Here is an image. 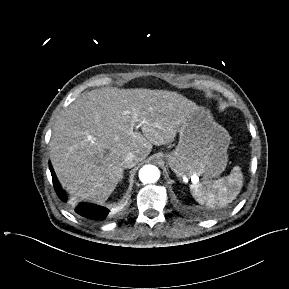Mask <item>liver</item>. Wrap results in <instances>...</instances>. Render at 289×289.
Wrapping results in <instances>:
<instances>
[{"label": "liver", "mask_w": 289, "mask_h": 289, "mask_svg": "<svg viewBox=\"0 0 289 289\" xmlns=\"http://www.w3.org/2000/svg\"><path fill=\"white\" fill-rule=\"evenodd\" d=\"M195 107L167 90L104 87L83 93L53 127L50 159L59 182L78 200L103 204L123 177L126 154L142 161L153 145L173 142Z\"/></svg>", "instance_id": "6515ba94"}]
</instances>
